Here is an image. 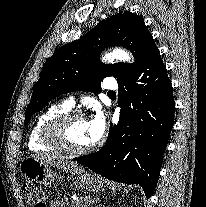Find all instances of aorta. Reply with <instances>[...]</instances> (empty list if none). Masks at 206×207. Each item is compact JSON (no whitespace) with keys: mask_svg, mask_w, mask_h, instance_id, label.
<instances>
[{"mask_svg":"<svg viewBox=\"0 0 206 207\" xmlns=\"http://www.w3.org/2000/svg\"><path fill=\"white\" fill-rule=\"evenodd\" d=\"M103 59L105 61H113L116 59L123 62H130L132 61V56L123 49H115L111 53L105 54Z\"/></svg>","mask_w":206,"mask_h":207,"instance_id":"762f6f07","label":"aorta"}]
</instances>
